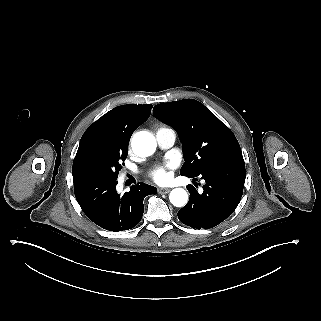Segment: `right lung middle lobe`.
Segmentation results:
<instances>
[{
    "label": "right lung middle lobe",
    "instance_id": "right-lung-middle-lobe-1",
    "mask_svg": "<svg viewBox=\"0 0 321 321\" xmlns=\"http://www.w3.org/2000/svg\"><path fill=\"white\" fill-rule=\"evenodd\" d=\"M129 139H114L106 128H88L74 158L72 173H89L117 179L127 157Z\"/></svg>",
    "mask_w": 321,
    "mask_h": 321
}]
</instances>
